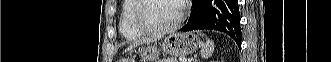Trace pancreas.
Returning <instances> with one entry per match:
<instances>
[{
    "label": "pancreas",
    "instance_id": "1",
    "mask_svg": "<svg viewBox=\"0 0 331 62\" xmlns=\"http://www.w3.org/2000/svg\"><path fill=\"white\" fill-rule=\"evenodd\" d=\"M160 62H177V60L171 57V58H163L162 60H160Z\"/></svg>",
    "mask_w": 331,
    "mask_h": 62
}]
</instances>
